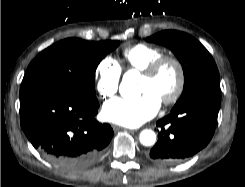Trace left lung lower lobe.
<instances>
[{"label": "left lung lower lobe", "mask_w": 245, "mask_h": 187, "mask_svg": "<svg viewBox=\"0 0 245 187\" xmlns=\"http://www.w3.org/2000/svg\"><path fill=\"white\" fill-rule=\"evenodd\" d=\"M220 108V91L213 90L191 98L157 121L158 142L149 159L162 165L184 161L211 140Z\"/></svg>", "instance_id": "obj_1"}]
</instances>
